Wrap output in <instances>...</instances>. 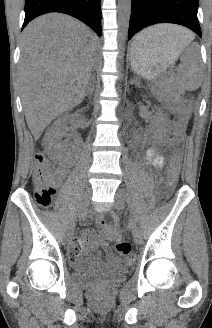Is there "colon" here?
Segmentation results:
<instances>
[{
  "instance_id": "colon-1",
  "label": "colon",
  "mask_w": 212,
  "mask_h": 328,
  "mask_svg": "<svg viewBox=\"0 0 212 328\" xmlns=\"http://www.w3.org/2000/svg\"><path fill=\"white\" fill-rule=\"evenodd\" d=\"M53 171L47 164L46 157L43 153H37L34 157V170L33 181L35 184L34 197L36 202L42 207H48L55 195V189L49 183V179H52ZM179 176V160L177 154L173 157L169 173L167 188L171 192L178 181ZM115 239L118 241L116 249L119 254L125 256L129 262L134 260V256L131 254V245L127 241H121L120 235L117 233Z\"/></svg>"
}]
</instances>
